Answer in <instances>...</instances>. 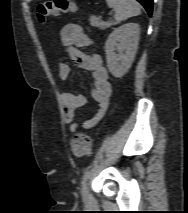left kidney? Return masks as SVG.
<instances>
[{"label":"left kidney","mask_w":188,"mask_h":213,"mask_svg":"<svg viewBox=\"0 0 188 213\" xmlns=\"http://www.w3.org/2000/svg\"><path fill=\"white\" fill-rule=\"evenodd\" d=\"M140 27L127 23L115 28L105 43L107 67L116 78H121L131 67L138 48ZM116 51L118 53H116Z\"/></svg>","instance_id":"left-kidney-1"}]
</instances>
